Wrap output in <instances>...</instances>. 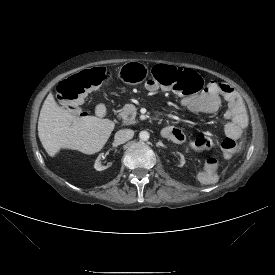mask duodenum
I'll list each match as a JSON object with an SVG mask.
<instances>
[{"label": "duodenum", "mask_w": 275, "mask_h": 275, "mask_svg": "<svg viewBox=\"0 0 275 275\" xmlns=\"http://www.w3.org/2000/svg\"><path fill=\"white\" fill-rule=\"evenodd\" d=\"M95 112H96V115L100 118L105 116V114L107 112L105 103L104 102H99L96 106Z\"/></svg>", "instance_id": "obj_1"}]
</instances>
